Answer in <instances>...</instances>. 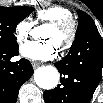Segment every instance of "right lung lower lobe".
<instances>
[{
    "mask_svg": "<svg viewBox=\"0 0 103 103\" xmlns=\"http://www.w3.org/2000/svg\"><path fill=\"white\" fill-rule=\"evenodd\" d=\"M19 47L0 48V103H14L21 85L33 74L31 63L26 59L11 62L19 54Z\"/></svg>",
    "mask_w": 103,
    "mask_h": 103,
    "instance_id": "1",
    "label": "right lung lower lobe"
}]
</instances>
